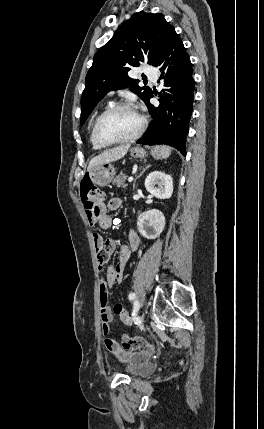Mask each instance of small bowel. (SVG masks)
Returning a JSON list of instances; mask_svg holds the SVG:
<instances>
[{
    "mask_svg": "<svg viewBox=\"0 0 264 429\" xmlns=\"http://www.w3.org/2000/svg\"><path fill=\"white\" fill-rule=\"evenodd\" d=\"M122 206V200L118 197L111 198L108 203L102 204L95 214H88V223L92 226L98 224L102 228H110L114 224V219L109 215V211L118 210ZM93 243L97 253L99 270L107 262L110 255L116 249V242L113 239L104 240L100 235L93 234ZM139 246V238L134 229H128L126 232V242L123 243L118 252L116 264L110 265L106 270L105 280L99 285V297L101 307L102 332L106 336L104 344L106 349L123 362L135 364L146 360L154 352V346L145 340V348L141 350H128L123 348L122 344L114 338L108 337L110 332V323L113 320L112 311L108 305V289L115 283H121L123 280L124 268L130 258V255Z\"/></svg>",
    "mask_w": 264,
    "mask_h": 429,
    "instance_id": "c3829d8e",
    "label": "small bowel"
}]
</instances>
